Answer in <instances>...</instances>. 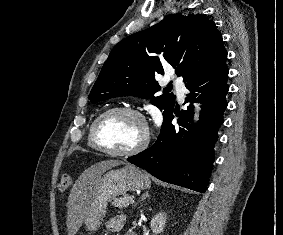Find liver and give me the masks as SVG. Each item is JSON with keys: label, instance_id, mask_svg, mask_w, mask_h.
Wrapping results in <instances>:
<instances>
[{"label": "liver", "instance_id": "1", "mask_svg": "<svg viewBox=\"0 0 283 235\" xmlns=\"http://www.w3.org/2000/svg\"><path fill=\"white\" fill-rule=\"evenodd\" d=\"M123 162L106 160L98 162L85 170L76 180L68 199L67 227L69 235L75 234L86 216L91 194L101 175Z\"/></svg>", "mask_w": 283, "mask_h": 235}]
</instances>
